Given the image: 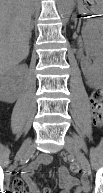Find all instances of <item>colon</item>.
Returning <instances> with one entry per match:
<instances>
[{
	"label": "colon",
	"mask_w": 103,
	"mask_h": 193,
	"mask_svg": "<svg viewBox=\"0 0 103 193\" xmlns=\"http://www.w3.org/2000/svg\"><path fill=\"white\" fill-rule=\"evenodd\" d=\"M90 106L92 117L96 124H100L103 119V90L100 88L94 89L90 94ZM70 169L74 173L81 172V166L77 162L70 164Z\"/></svg>",
	"instance_id": "5ec220e1"
}]
</instances>
